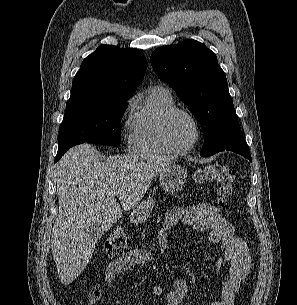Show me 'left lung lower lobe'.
Masks as SVG:
<instances>
[{
	"label": "left lung lower lobe",
	"mask_w": 297,
	"mask_h": 305,
	"mask_svg": "<svg viewBox=\"0 0 297 305\" xmlns=\"http://www.w3.org/2000/svg\"><path fill=\"white\" fill-rule=\"evenodd\" d=\"M229 151H233L235 153H238V154L244 156L245 158L249 159L250 161H252L249 149H246V150H229Z\"/></svg>",
	"instance_id": "obj_1"
}]
</instances>
